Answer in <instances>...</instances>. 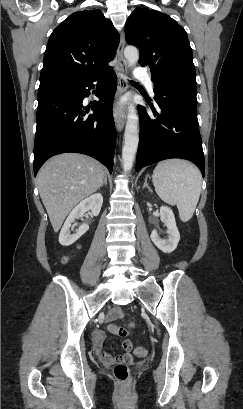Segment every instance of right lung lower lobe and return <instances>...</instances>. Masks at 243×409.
<instances>
[{
    "label": "right lung lower lobe",
    "instance_id": "right-lung-lower-lobe-1",
    "mask_svg": "<svg viewBox=\"0 0 243 409\" xmlns=\"http://www.w3.org/2000/svg\"><path fill=\"white\" fill-rule=\"evenodd\" d=\"M97 82L99 101L92 103L93 114L83 99ZM117 78L111 67L71 85L38 92L37 128L34 144V175L56 154L76 152L89 155L113 169L116 130L112 103ZM85 109V111H84Z\"/></svg>",
    "mask_w": 243,
    "mask_h": 409
}]
</instances>
